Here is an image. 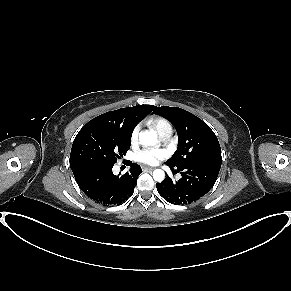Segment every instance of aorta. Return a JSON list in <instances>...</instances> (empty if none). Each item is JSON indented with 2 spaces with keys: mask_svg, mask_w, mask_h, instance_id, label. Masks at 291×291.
Masks as SVG:
<instances>
[{
  "mask_svg": "<svg viewBox=\"0 0 291 291\" xmlns=\"http://www.w3.org/2000/svg\"><path fill=\"white\" fill-rule=\"evenodd\" d=\"M139 140L142 145L150 146L157 141V136L153 132L144 131L140 132ZM165 178V173L161 169H156L153 171V179L157 182H162Z\"/></svg>",
  "mask_w": 291,
  "mask_h": 291,
  "instance_id": "762f6f07",
  "label": "aorta"
}]
</instances>
